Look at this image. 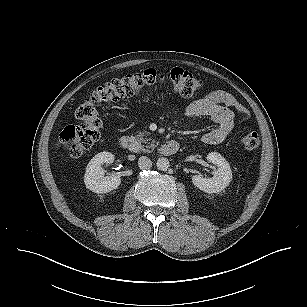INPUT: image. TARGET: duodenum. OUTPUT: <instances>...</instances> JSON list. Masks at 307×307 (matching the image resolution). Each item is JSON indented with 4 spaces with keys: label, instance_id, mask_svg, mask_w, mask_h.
I'll return each mask as SVG.
<instances>
[{
    "label": "duodenum",
    "instance_id": "1",
    "mask_svg": "<svg viewBox=\"0 0 307 307\" xmlns=\"http://www.w3.org/2000/svg\"><path fill=\"white\" fill-rule=\"evenodd\" d=\"M120 146L128 151L137 149L135 140L130 136H123L120 139ZM179 149V144L175 140L166 141L160 148V154L163 156H171Z\"/></svg>",
    "mask_w": 307,
    "mask_h": 307
}]
</instances>
